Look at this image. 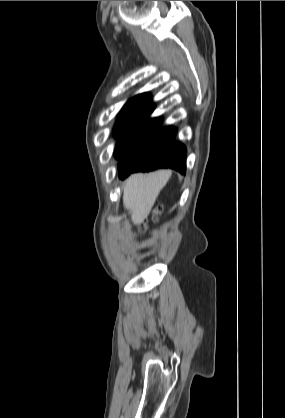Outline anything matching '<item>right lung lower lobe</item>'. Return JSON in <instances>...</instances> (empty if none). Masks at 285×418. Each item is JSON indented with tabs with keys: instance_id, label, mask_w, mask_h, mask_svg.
I'll return each mask as SVG.
<instances>
[{
	"instance_id": "right-lung-lower-lobe-1",
	"label": "right lung lower lobe",
	"mask_w": 285,
	"mask_h": 418,
	"mask_svg": "<svg viewBox=\"0 0 285 418\" xmlns=\"http://www.w3.org/2000/svg\"><path fill=\"white\" fill-rule=\"evenodd\" d=\"M176 128L157 129L131 151L121 157L120 178L138 171L171 168L180 173L186 169V147L175 141Z\"/></svg>"
}]
</instances>
